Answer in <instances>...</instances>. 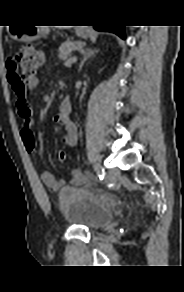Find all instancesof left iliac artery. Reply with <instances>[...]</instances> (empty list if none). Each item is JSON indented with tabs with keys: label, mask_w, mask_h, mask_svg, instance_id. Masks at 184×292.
Listing matches in <instances>:
<instances>
[{
	"label": "left iliac artery",
	"mask_w": 184,
	"mask_h": 292,
	"mask_svg": "<svg viewBox=\"0 0 184 292\" xmlns=\"http://www.w3.org/2000/svg\"><path fill=\"white\" fill-rule=\"evenodd\" d=\"M94 170H95L97 176L99 177V179L102 180L105 176L104 168L99 163H95Z\"/></svg>",
	"instance_id": "obj_1"
}]
</instances>
